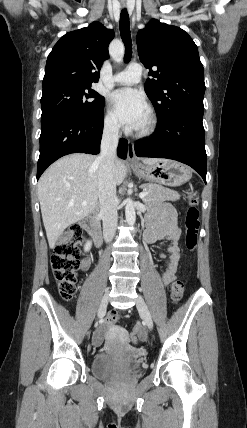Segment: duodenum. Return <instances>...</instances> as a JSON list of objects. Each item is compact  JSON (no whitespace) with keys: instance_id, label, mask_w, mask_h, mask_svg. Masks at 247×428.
<instances>
[{"instance_id":"1","label":"duodenum","mask_w":247,"mask_h":428,"mask_svg":"<svg viewBox=\"0 0 247 428\" xmlns=\"http://www.w3.org/2000/svg\"><path fill=\"white\" fill-rule=\"evenodd\" d=\"M82 225L88 230L92 236L94 243L97 247H100L103 241L101 228L98 224L97 216L95 214L87 216L83 221Z\"/></svg>"}]
</instances>
